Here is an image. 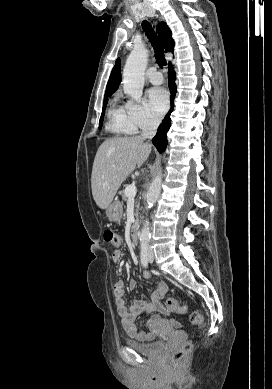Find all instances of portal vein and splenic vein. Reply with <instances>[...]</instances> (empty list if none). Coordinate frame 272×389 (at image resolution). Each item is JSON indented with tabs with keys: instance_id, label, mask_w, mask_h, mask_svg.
<instances>
[{
	"instance_id": "18ae733b",
	"label": "portal vein and splenic vein",
	"mask_w": 272,
	"mask_h": 389,
	"mask_svg": "<svg viewBox=\"0 0 272 389\" xmlns=\"http://www.w3.org/2000/svg\"><path fill=\"white\" fill-rule=\"evenodd\" d=\"M137 193L135 184H131L125 188V195L129 198H134Z\"/></svg>"
}]
</instances>
